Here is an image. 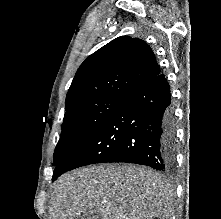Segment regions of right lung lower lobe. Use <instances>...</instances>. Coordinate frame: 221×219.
Segmentation results:
<instances>
[{
  "label": "right lung lower lobe",
  "mask_w": 221,
  "mask_h": 219,
  "mask_svg": "<svg viewBox=\"0 0 221 219\" xmlns=\"http://www.w3.org/2000/svg\"><path fill=\"white\" fill-rule=\"evenodd\" d=\"M175 138L170 88L159 74L125 95L94 135L56 166L52 180L66 171L106 162L169 171L175 163Z\"/></svg>",
  "instance_id": "obj_1"
}]
</instances>
